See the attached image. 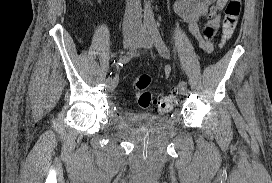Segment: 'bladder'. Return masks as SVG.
I'll use <instances>...</instances> for the list:
<instances>
[{
    "label": "bladder",
    "mask_w": 272,
    "mask_h": 183,
    "mask_svg": "<svg viewBox=\"0 0 272 183\" xmlns=\"http://www.w3.org/2000/svg\"><path fill=\"white\" fill-rule=\"evenodd\" d=\"M127 125L148 133H159L169 125V118L156 116L149 113L125 112Z\"/></svg>",
    "instance_id": "31cf9c89"
}]
</instances>
